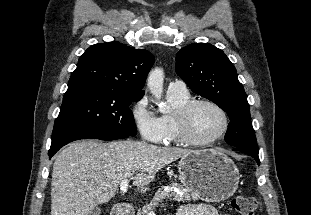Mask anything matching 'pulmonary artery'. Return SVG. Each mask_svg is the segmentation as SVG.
Returning a JSON list of instances; mask_svg holds the SVG:
<instances>
[{
	"mask_svg": "<svg viewBox=\"0 0 311 215\" xmlns=\"http://www.w3.org/2000/svg\"><path fill=\"white\" fill-rule=\"evenodd\" d=\"M168 91L188 92V89L186 84L182 80H174L169 83Z\"/></svg>",
	"mask_w": 311,
	"mask_h": 215,
	"instance_id": "1",
	"label": "pulmonary artery"
}]
</instances>
